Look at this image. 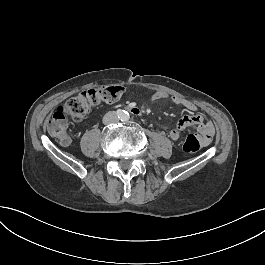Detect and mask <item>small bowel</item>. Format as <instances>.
Wrapping results in <instances>:
<instances>
[{
  "instance_id": "c3829d8e",
  "label": "small bowel",
  "mask_w": 265,
  "mask_h": 265,
  "mask_svg": "<svg viewBox=\"0 0 265 265\" xmlns=\"http://www.w3.org/2000/svg\"><path fill=\"white\" fill-rule=\"evenodd\" d=\"M168 97L169 95L166 92L156 91L149 97V100H164ZM171 101L175 105L184 108L192 114L182 116L178 120L176 127L170 130L169 137L172 140L177 141L181 138L182 131L189 128H196L201 136L202 143L205 145L209 144L214 135L215 128L213 123L209 121L204 114L198 113V106L195 103L180 96L171 97Z\"/></svg>"
}]
</instances>
